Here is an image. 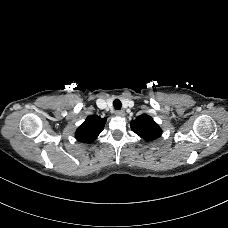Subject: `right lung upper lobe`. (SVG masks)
Listing matches in <instances>:
<instances>
[{"label":"right lung upper lobe","instance_id":"obj_1","mask_svg":"<svg viewBox=\"0 0 228 228\" xmlns=\"http://www.w3.org/2000/svg\"><path fill=\"white\" fill-rule=\"evenodd\" d=\"M106 118L97 115L88 116L84 123L76 130L75 137L80 142L92 143L104 129Z\"/></svg>","mask_w":228,"mask_h":228}]
</instances>
